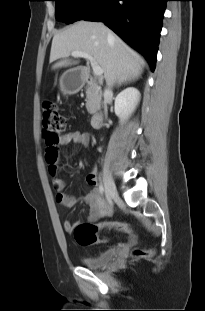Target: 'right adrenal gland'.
Returning a JSON list of instances; mask_svg holds the SVG:
<instances>
[{
  "instance_id": "right-adrenal-gland-1",
  "label": "right adrenal gland",
  "mask_w": 205,
  "mask_h": 311,
  "mask_svg": "<svg viewBox=\"0 0 205 311\" xmlns=\"http://www.w3.org/2000/svg\"><path fill=\"white\" fill-rule=\"evenodd\" d=\"M126 83L125 81H121L118 83L117 87H120L122 84Z\"/></svg>"
}]
</instances>
